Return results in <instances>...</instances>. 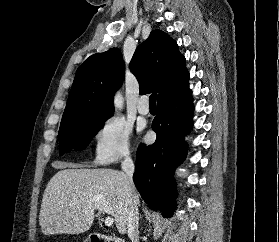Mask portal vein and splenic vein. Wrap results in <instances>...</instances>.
<instances>
[{
	"label": "portal vein and splenic vein",
	"instance_id": "portal-vein-and-splenic-vein-1",
	"mask_svg": "<svg viewBox=\"0 0 279 242\" xmlns=\"http://www.w3.org/2000/svg\"><path fill=\"white\" fill-rule=\"evenodd\" d=\"M106 226L111 227L114 223V219L110 216L106 217L104 220Z\"/></svg>",
	"mask_w": 279,
	"mask_h": 242
}]
</instances>
